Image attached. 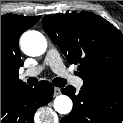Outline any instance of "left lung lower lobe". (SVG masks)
Here are the masks:
<instances>
[{
	"label": "left lung lower lobe",
	"mask_w": 123,
	"mask_h": 123,
	"mask_svg": "<svg viewBox=\"0 0 123 123\" xmlns=\"http://www.w3.org/2000/svg\"><path fill=\"white\" fill-rule=\"evenodd\" d=\"M73 101L72 112L61 123H122L123 94L83 85L79 93L72 86L61 89Z\"/></svg>",
	"instance_id": "left-lung-lower-lobe-1"
}]
</instances>
